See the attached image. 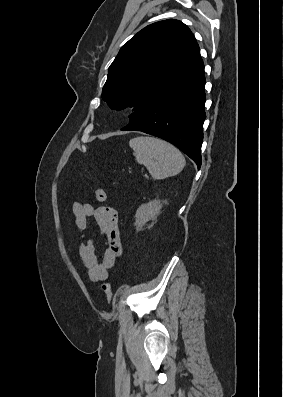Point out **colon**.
I'll list each match as a JSON object with an SVG mask.
<instances>
[{
    "mask_svg": "<svg viewBox=\"0 0 283 397\" xmlns=\"http://www.w3.org/2000/svg\"><path fill=\"white\" fill-rule=\"evenodd\" d=\"M94 193H95L96 199L99 202H105L106 201L107 195H106V192H105V190L103 188L97 186L95 188V190H94ZM101 288H102L103 292L105 293L107 300L111 301L112 298H113V291H112L111 286L108 283H103L101 285Z\"/></svg>",
    "mask_w": 283,
    "mask_h": 397,
    "instance_id": "5ec220e1",
    "label": "colon"
}]
</instances>
